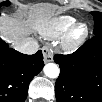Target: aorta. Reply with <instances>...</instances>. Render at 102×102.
Segmentation results:
<instances>
[{
  "label": "aorta",
  "instance_id": "762f6f07",
  "mask_svg": "<svg viewBox=\"0 0 102 102\" xmlns=\"http://www.w3.org/2000/svg\"><path fill=\"white\" fill-rule=\"evenodd\" d=\"M43 71L48 78L52 79L57 78L60 73L59 67L55 63L46 64Z\"/></svg>",
  "mask_w": 102,
  "mask_h": 102
}]
</instances>
